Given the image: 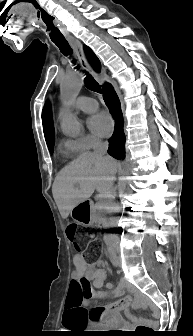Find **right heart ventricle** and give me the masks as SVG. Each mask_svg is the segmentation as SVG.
I'll return each instance as SVG.
<instances>
[{"label":"right heart ventricle","mask_w":193,"mask_h":336,"mask_svg":"<svg viewBox=\"0 0 193 336\" xmlns=\"http://www.w3.org/2000/svg\"><path fill=\"white\" fill-rule=\"evenodd\" d=\"M63 149H64V152L69 156L75 155L77 153L75 150L69 147L68 143H65L63 145Z\"/></svg>","instance_id":"1"}]
</instances>
